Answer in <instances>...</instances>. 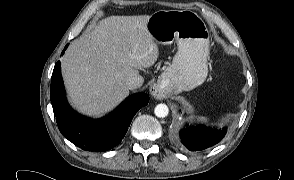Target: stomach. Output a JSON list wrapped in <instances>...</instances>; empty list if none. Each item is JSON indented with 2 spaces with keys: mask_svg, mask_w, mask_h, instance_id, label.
<instances>
[{
  "mask_svg": "<svg viewBox=\"0 0 294 180\" xmlns=\"http://www.w3.org/2000/svg\"><path fill=\"white\" fill-rule=\"evenodd\" d=\"M147 30L158 44L177 43L178 51L172 64L158 80V88L166 93L189 91L201 85L208 74L209 31L194 12L157 11L147 24Z\"/></svg>",
  "mask_w": 294,
  "mask_h": 180,
  "instance_id": "obj_1",
  "label": "stomach"
}]
</instances>
